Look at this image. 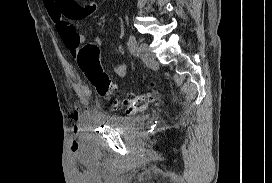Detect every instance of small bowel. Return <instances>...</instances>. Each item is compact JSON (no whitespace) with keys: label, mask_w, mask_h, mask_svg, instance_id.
<instances>
[{"label":"small bowel","mask_w":272,"mask_h":183,"mask_svg":"<svg viewBox=\"0 0 272 183\" xmlns=\"http://www.w3.org/2000/svg\"><path fill=\"white\" fill-rule=\"evenodd\" d=\"M43 3L49 17L56 24L65 46L71 55L77 58L80 47L85 41V36L77 33L70 21L79 20L93 14L97 10V4L93 1L79 3L77 0H43ZM97 42L100 41L97 40ZM117 51L119 54L124 53L121 46L117 48ZM114 72L123 78L127 75V67L118 65Z\"/></svg>","instance_id":"c3829d8e"}]
</instances>
